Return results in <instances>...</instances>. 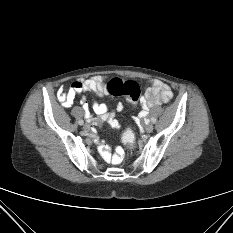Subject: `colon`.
<instances>
[{
    "label": "colon",
    "instance_id": "5ec220e1",
    "mask_svg": "<svg viewBox=\"0 0 233 233\" xmlns=\"http://www.w3.org/2000/svg\"><path fill=\"white\" fill-rule=\"evenodd\" d=\"M107 88L113 96H125L130 107L136 104L141 95L138 83L132 80L125 81L120 78H113L107 83ZM122 140L130 147L135 145V136L129 128L124 130Z\"/></svg>",
    "mask_w": 233,
    "mask_h": 233
}]
</instances>
